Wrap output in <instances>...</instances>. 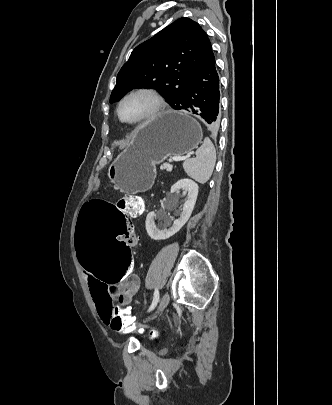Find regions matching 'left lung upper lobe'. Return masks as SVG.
<instances>
[{"label": "left lung upper lobe", "instance_id": "left-lung-upper-lobe-1", "mask_svg": "<svg viewBox=\"0 0 332 405\" xmlns=\"http://www.w3.org/2000/svg\"><path fill=\"white\" fill-rule=\"evenodd\" d=\"M211 51L210 40L197 22L177 19L132 51L117 75L110 103L134 88H154L179 109L193 75Z\"/></svg>", "mask_w": 332, "mask_h": 405}]
</instances>
